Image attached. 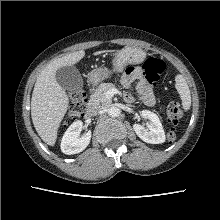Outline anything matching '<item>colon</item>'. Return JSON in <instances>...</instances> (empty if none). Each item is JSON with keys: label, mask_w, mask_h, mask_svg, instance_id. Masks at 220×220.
<instances>
[{"label": "colon", "mask_w": 220, "mask_h": 220, "mask_svg": "<svg viewBox=\"0 0 220 220\" xmlns=\"http://www.w3.org/2000/svg\"><path fill=\"white\" fill-rule=\"evenodd\" d=\"M143 70L147 81L150 84H154L159 80L160 75L164 70V64L159 59L148 58L143 65ZM86 108V93L82 89L73 92L70 97V111L68 114V120L73 121L83 116ZM182 116V111L177 104L172 103L167 107V118L170 123L176 124L181 120ZM175 139L176 132L174 130H170L167 133V141L172 143L175 141Z\"/></svg>", "instance_id": "5ec220e1"}]
</instances>
